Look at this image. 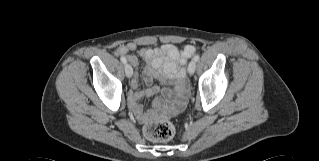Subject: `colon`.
I'll list each match as a JSON object with an SVG mask.
<instances>
[{"label":"colon","instance_id":"5ec220e1","mask_svg":"<svg viewBox=\"0 0 319 161\" xmlns=\"http://www.w3.org/2000/svg\"><path fill=\"white\" fill-rule=\"evenodd\" d=\"M144 134L152 141H167L175 134V128L170 122L160 120L146 125Z\"/></svg>","mask_w":319,"mask_h":161}]
</instances>
